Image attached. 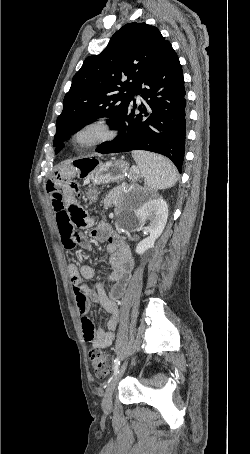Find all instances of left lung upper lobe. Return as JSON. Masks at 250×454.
<instances>
[{
  "label": "left lung upper lobe",
  "instance_id": "left-lung-upper-lobe-1",
  "mask_svg": "<svg viewBox=\"0 0 250 454\" xmlns=\"http://www.w3.org/2000/svg\"><path fill=\"white\" fill-rule=\"evenodd\" d=\"M172 51L152 25L133 22L118 30L103 52L87 57L74 75L56 122L55 152L94 119L109 117L107 124L116 129L138 87Z\"/></svg>",
  "mask_w": 250,
  "mask_h": 454
}]
</instances>
